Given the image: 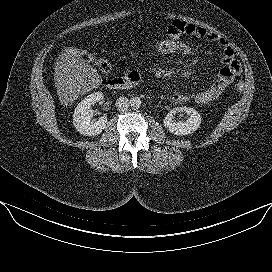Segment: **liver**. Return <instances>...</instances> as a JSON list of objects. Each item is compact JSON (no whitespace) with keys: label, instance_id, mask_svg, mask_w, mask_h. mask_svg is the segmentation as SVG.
<instances>
[{"label":"liver","instance_id":"liver-1","mask_svg":"<svg viewBox=\"0 0 272 272\" xmlns=\"http://www.w3.org/2000/svg\"><path fill=\"white\" fill-rule=\"evenodd\" d=\"M54 82L60 102L68 105L100 86L101 77L79 56L63 54L54 68Z\"/></svg>","mask_w":272,"mask_h":272}]
</instances>
